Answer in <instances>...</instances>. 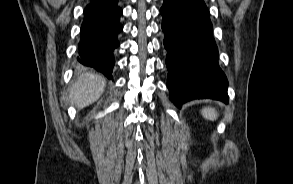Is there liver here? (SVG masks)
<instances>
[{
    "label": "liver",
    "instance_id": "6515ba94",
    "mask_svg": "<svg viewBox=\"0 0 293 184\" xmlns=\"http://www.w3.org/2000/svg\"><path fill=\"white\" fill-rule=\"evenodd\" d=\"M104 88L105 79L103 76L78 68V78L70 89L69 99L72 104L81 109L99 99Z\"/></svg>",
    "mask_w": 293,
    "mask_h": 184
}]
</instances>
